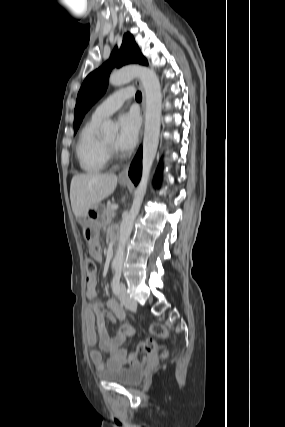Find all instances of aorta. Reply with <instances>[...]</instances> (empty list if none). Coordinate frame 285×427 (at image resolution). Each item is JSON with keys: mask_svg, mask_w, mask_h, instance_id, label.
I'll use <instances>...</instances> for the list:
<instances>
[{"mask_svg": "<svg viewBox=\"0 0 285 427\" xmlns=\"http://www.w3.org/2000/svg\"><path fill=\"white\" fill-rule=\"evenodd\" d=\"M138 77L143 85L146 97L145 127L143 138L142 177L134 194L129 213L123 218L120 225L118 247L112 262V267L121 270L125 257L127 241L133 229L134 221L143 202L150 171L156 157L159 144L162 92L159 79L155 72L147 67L132 65L124 67L110 75L109 83L120 86ZM102 131L106 136H114L118 132V125L107 120L102 124Z\"/></svg>", "mask_w": 285, "mask_h": 427, "instance_id": "obj_1", "label": "aorta"}]
</instances>
